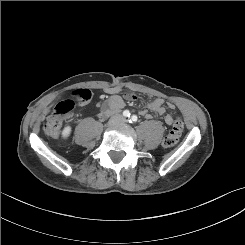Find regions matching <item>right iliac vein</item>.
I'll return each mask as SVG.
<instances>
[{
  "mask_svg": "<svg viewBox=\"0 0 245 245\" xmlns=\"http://www.w3.org/2000/svg\"><path fill=\"white\" fill-rule=\"evenodd\" d=\"M114 123V121H110L109 124L112 125Z\"/></svg>",
  "mask_w": 245,
  "mask_h": 245,
  "instance_id": "63e3f726",
  "label": "right iliac vein"
}]
</instances>
